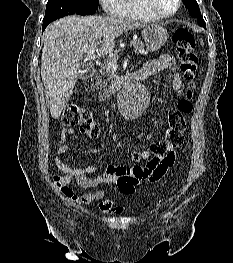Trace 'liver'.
I'll return each instance as SVG.
<instances>
[{
  "label": "liver",
  "instance_id": "1",
  "mask_svg": "<svg viewBox=\"0 0 233 263\" xmlns=\"http://www.w3.org/2000/svg\"><path fill=\"white\" fill-rule=\"evenodd\" d=\"M143 27L144 24L130 19L103 16L73 15L51 23L44 33L41 56V78L49 97L51 117H60L77 82L79 59L88 53L92 43L99 40V52L108 54L123 32Z\"/></svg>",
  "mask_w": 233,
  "mask_h": 263
}]
</instances>
